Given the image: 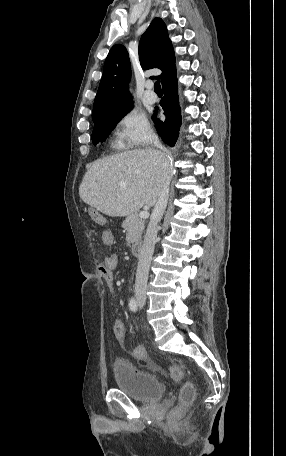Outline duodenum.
<instances>
[{
	"mask_svg": "<svg viewBox=\"0 0 286 456\" xmlns=\"http://www.w3.org/2000/svg\"><path fill=\"white\" fill-rule=\"evenodd\" d=\"M131 251H132L133 255L139 256L142 252V243L141 242L133 243L131 246Z\"/></svg>",
	"mask_w": 286,
	"mask_h": 456,
	"instance_id": "duodenum-1",
	"label": "duodenum"
}]
</instances>
